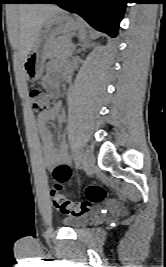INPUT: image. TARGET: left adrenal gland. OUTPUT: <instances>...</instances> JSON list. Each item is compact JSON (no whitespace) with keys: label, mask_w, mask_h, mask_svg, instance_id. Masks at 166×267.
<instances>
[{"label":"left adrenal gland","mask_w":166,"mask_h":267,"mask_svg":"<svg viewBox=\"0 0 166 267\" xmlns=\"http://www.w3.org/2000/svg\"><path fill=\"white\" fill-rule=\"evenodd\" d=\"M85 49H86V44H83V45H82V48L79 49L77 52L79 53V52H81V51H85Z\"/></svg>","instance_id":"left-adrenal-gland-1"}]
</instances>
